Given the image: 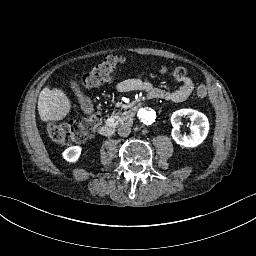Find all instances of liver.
I'll return each mask as SVG.
<instances>
[{"label": "liver", "mask_w": 256, "mask_h": 256, "mask_svg": "<svg viewBox=\"0 0 256 256\" xmlns=\"http://www.w3.org/2000/svg\"><path fill=\"white\" fill-rule=\"evenodd\" d=\"M37 108L43 123L58 122L71 114L73 102L61 88L46 85L39 94Z\"/></svg>", "instance_id": "liver-1"}]
</instances>
